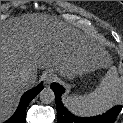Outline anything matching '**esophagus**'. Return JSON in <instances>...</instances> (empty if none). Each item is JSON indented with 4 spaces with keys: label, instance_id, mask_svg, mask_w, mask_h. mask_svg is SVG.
<instances>
[{
    "label": "esophagus",
    "instance_id": "obj_1",
    "mask_svg": "<svg viewBox=\"0 0 123 123\" xmlns=\"http://www.w3.org/2000/svg\"><path fill=\"white\" fill-rule=\"evenodd\" d=\"M55 79H56V76L51 72H46L44 74V82L46 85L51 84L52 82L55 81Z\"/></svg>",
    "mask_w": 123,
    "mask_h": 123
}]
</instances>
